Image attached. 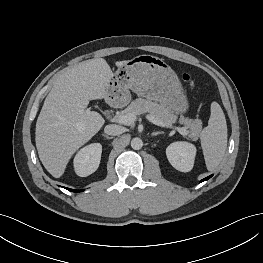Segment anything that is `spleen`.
Here are the masks:
<instances>
[{
	"mask_svg": "<svg viewBox=\"0 0 263 263\" xmlns=\"http://www.w3.org/2000/svg\"><path fill=\"white\" fill-rule=\"evenodd\" d=\"M227 124L224 112L217 102L211 103V115L201 132V147L208 171H213L221 163L227 149Z\"/></svg>",
	"mask_w": 263,
	"mask_h": 263,
	"instance_id": "obj_1",
	"label": "spleen"
}]
</instances>
